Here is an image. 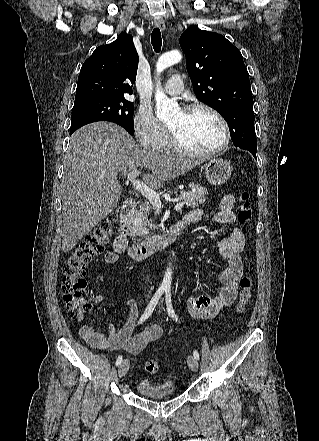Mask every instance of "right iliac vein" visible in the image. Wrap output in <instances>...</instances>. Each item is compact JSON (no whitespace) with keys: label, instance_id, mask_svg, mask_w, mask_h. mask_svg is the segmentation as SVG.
I'll list each match as a JSON object with an SVG mask.
<instances>
[{"label":"right iliac vein","instance_id":"1","mask_svg":"<svg viewBox=\"0 0 319 441\" xmlns=\"http://www.w3.org/2000/svg\"><path fill=\"white\" fill-rule=\"evenodd\" d=\"M129 366H130V363H129V360H128V359H125V360L119 365V368H118V375H119L120 378L126 375V373H127L128 370H129Z\"/></svg>","mask_w":319,"mask_h":441}]
</instances>
